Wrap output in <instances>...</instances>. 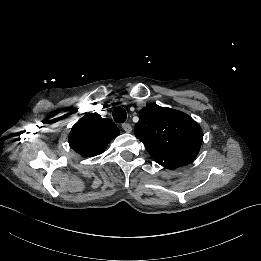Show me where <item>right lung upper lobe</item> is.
I'll list each match as a JSON object with an SVG mask.
<instances>
[{
    "label": "right lung upper lobe",
    "mask_w": 261,
    "mask_h": 261,
    "mask_svg": "<svg viewBox=\"0 0 261 261\" xmlns=\"http://www.w3.org/2000/svg\"><path fill=\"white\" fill-rule=\"evenodd\" d=\"M119 135L116 125L97 113L86 114L72 128L69 145L83 157L105 151L108 143Z\"/></svg>",
    "instance_id": "right-lung-upper-lobe-1"
}]
</instances>
